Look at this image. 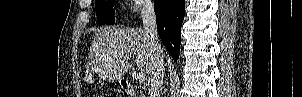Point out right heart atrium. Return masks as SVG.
I'll return each mask as SVG.
<instances>
[{
	"label": "right heart atrium",
	"instance_id": "obj_1",
	"mask_svg": "<svg viewBox=\"0 0 302 97\" xmlns=\"http://www.w3.org/2000/svg\"><path fill=\"white\" fill-rule=\"evenodd\" d=\"M131 3L135 4L130 9V13L131 14H136V13L143 12L144 10H148L149 9V6L145 5L143 3V1L136 0V1H131Z\"/></svg>",
	"mask_w": 302,
	"mask_h": 97
}]
</instances>
